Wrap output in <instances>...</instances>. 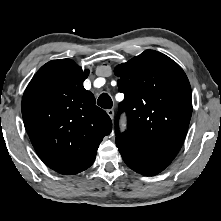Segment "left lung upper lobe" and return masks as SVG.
I'll use <instances>...</instances> for the list:
<instances>
[{
  "mask_svg": "<svg viewBox=\"0 0 221 221\" xmlns=\"http://www.w3.org/2000/svg\"><path fill=\"white\" fill-rule=\"evenodd\" d=\"M119 105L128 116L127 130L120 133L116 119V142H123L143 156L171 162L179 152L192 114V93L182 68L168 56L146 50L118 65Z\"/></svg>",
  "mask_w": 221,
  "mask_h": 221,
  "instance_id": "5c2ea615",
  "label": "left lung upper lobe"
}]
</instances>
